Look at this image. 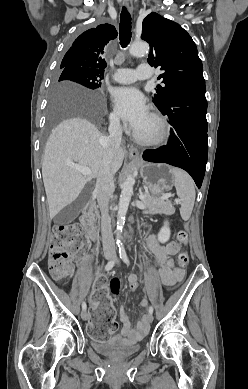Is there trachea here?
<instances>
[{
  "label": "trachea",
  "mask_w": 248,
  "mask_h": 389,
  "mask_svg": "<svg viewBox=\"0 0 248 389\" xmlns=\"http://www.w3.org/2000/svg\"><path fill=\"white\" fill-rule=\"evenodd\" d=\"M131 16L126 7L122 8L120 16L119 39L123 48L127 47L131 40Z\"/></svg>",
  "instance_id": "1"
}]
</instances>
